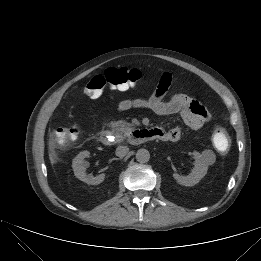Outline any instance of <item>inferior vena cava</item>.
Returning a JSON list of instances; mask_svg holds the SVG:
<instances>
[{"mask_svg": "<svg viewBox=\"0 0 261 261\" xmlns=\"http://www.w3.org/2000/svg\"><path fill=\"white\" fill-rule=\"evenodd\" d=\"M129 152V148L127 146H118L116 148V156L123 158L124 156L127 155V153Z\"/></svg>", "mask_w": 261, "mask_h": 261, "instance_id": "602c4592", "label": "inferior vena cava"}]
</instances>
